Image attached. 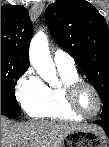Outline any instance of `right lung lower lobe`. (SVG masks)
<instances>
[{
  "label": "right lung lower lobe",
  "instance_id": "right-lung-lower-lobe-1",
  "mask_svg": "<svg viewBox=\"0 0 109 147\" xmlns=\"http://www.w3.org/2000/svg\"><path fill=\"white\" fill-rule=\"evenodd\" d=\"M1 115H5V116L10 117V118H16V117H18V116H14V115L8 113V112L6 111V109L3 108L2 106H1Z\"/></svg>",
  "mask_w": 109,
  "mask_h": 147
}]
</instances>
